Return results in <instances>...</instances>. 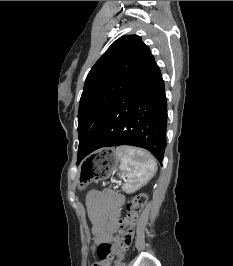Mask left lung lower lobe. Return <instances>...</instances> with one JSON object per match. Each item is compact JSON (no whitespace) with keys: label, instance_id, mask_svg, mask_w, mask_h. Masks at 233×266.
<instances>
[{"label":"left lung lower lobe","instance_id":"left-lung-lower-lobe-1","mask_svg":"<svg viewBox=\"0 0 233 266\" xmlns=\"http://www.w3.org/2000/svg\"><path fill=\"white\" fill-rule=\"evenodd\" d=\"M166 126L164 81L151 56L132 84L114 103L87 147L78 155L77 163L102 147L132 145L149 150L162 165Z\"/></svg>","mask_w":233,"mask_h":266}]
</instances>
